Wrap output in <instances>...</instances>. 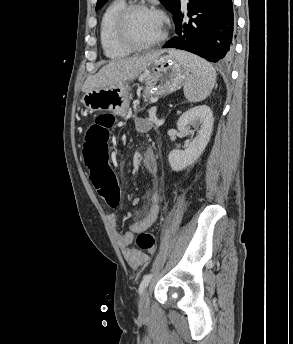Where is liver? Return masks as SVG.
I'll return each mask as SVG.
<instances>
[{
	"label": "liver",
	"mask_w": 293,
	"mask_h": 344,
	"mask_svg": "<svg viewBox=\"0 0 293 344\" xmlns=\"http://www.w3.org/2000/svg\"><path fill=\"white\" fill-rule=\"evenodd\" d=\"M162 53L163 51H157L138 57L111 61L104 65L98 73L87 77L82 91L86 93L98 88H115L120 84L130 81L148 68Z\"/></svg>",
	"instance_id": "obj_1"
}]
</instances>
